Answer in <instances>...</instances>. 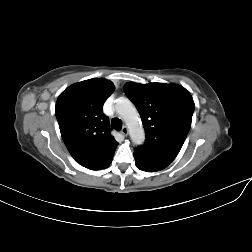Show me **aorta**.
<instances>
[{
	"instance_id": "1",
	"label": "aorta",
	"mask_w": 252,
	"mask_h": 252,
	"mask_svg": "<svg viewBox=\"0 0 252 252\" xmlns=\"http://www.w3.org/2000/svg\"><path fill=\"white\" fill-rule=\"evenodd\" d=\"M115 107L129 128L132 142L136 145L142 144L145 139V134L137 110L132 102L127 98L121 97L118 99Z\"/></svg>"
}]
</instances>
